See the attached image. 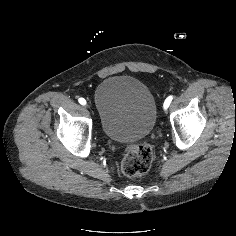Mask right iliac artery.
<instances>
[{
    "instance_id": "obj_1",
    "label": "right iliac artery",
    "mask_w": 236,
    "mask_h": 236,
    "mask_svg": "<svg viewBox=\"0 0 236 236\" xmlns=\"http://www.w3.org/2000/svg\"><path fill=\"white\" fill-rule=\"evenodd\" d=\"M78 102L81 104V105H86V100L84 98H79L78 99Z\"/></svg>"
}]
</instances>
